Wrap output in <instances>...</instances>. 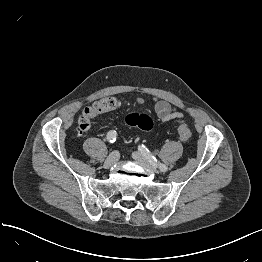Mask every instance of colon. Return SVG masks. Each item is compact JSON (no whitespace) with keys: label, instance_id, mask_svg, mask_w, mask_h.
Wrapping results in <instances>:
<instances>
[{"label":"colon","instance_id":"obj_1","mask_svg":"<svg viewBox=\"0 0 262 262\" xmlns=\"http://www.w3.org/2000/svg\"><path fill=\"white\" fill-rule=\"evenodd\" d=\"M118 104L115 102L110 103V106L116 107ZM100 111V109H98ZM89 121L86 118H81L80 129L85 130L89 126ZM125 124L131 128H138L142 131H151L154 127L153 120L147 114L133 113L125 117ZM191 130L188 124L184 121H180L178 125V136L181 141H188L191 138Z\"/></svg>","mask_w":262,"mask_h":262}]
</instances>
